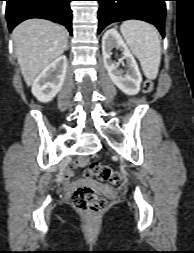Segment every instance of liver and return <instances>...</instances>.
I'll return each instance as SVG.
<instances>
[{"label": "liver", "mask_w": 194, "mask_h": 253, "mask_svg": "<svg viewBox=\"0 0 194 253\" xmlns=\"http://www.w3.org/2000/svg\"><path fill=\"white\" fill-rule=\"evenodd\" d=\"M16 57L26 84L57 59L67 48L64 27L43 19H30L19 24L12 33Z\"/></svg>", "instance_id": "6515ba94"}]
</instances>
